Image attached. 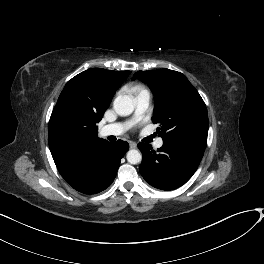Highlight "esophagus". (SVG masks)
Segmentation results:
<instances>
[{
	"label": "esophagus",
	"mask_w": 264,
	"mask_h": 264,
	"mask_svg": "<svg viewBox=\"0 0 264 264\" xmlns=\"http://www.w3.org/2000/svg\"><path fill=\"white\" fill-rule=\"evenodd\" d=\"M129 146L131 149H135L137 147V144L135 142H130Z\"/></svg>",
	"instance_id": "esophagus-1"
}]
</instances>
